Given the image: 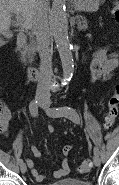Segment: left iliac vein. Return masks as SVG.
<instances>
[{
	"label": "left iliac vein",
	"mask_w": 119,
	"mask_h": 185,
	"mask_svg": "<svg viewBox=\"0 0 119 185\" xmlns=\"http://www.w3.org/2000/svg\"><path fill=\"white\" fill-rule=\"evenodd\" d=\"M43 109L45 111V113L49 116V117H56L54 114H53V110L50 108V103L49 102H46L44 105H43ZM93 163L95 166H99L100 165V157H99V154H94L93 155Z\"/></svg>",
	"instance_id": "obj_1"
}]
</instances>
